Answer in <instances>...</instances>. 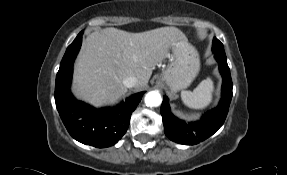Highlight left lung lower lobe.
Masks as SVG:
<instances>
[{
  "instance_id": "obj_1",
  "label": "left lung lower lobe",
  "mask_w": 287,
  "mask_h": 175,
  "mask_svg": "<svg viewBox=\"0 0 287 175\" xmlns=\"http://www.w3.org/2000/svg\"><path fill=\"white\" fill-rule=\"evenodd\" d=\"M219 71L223 78L222 98L219 105L205 113L201 120L185 123L177 119L170 111L169 99L164 97L161 114L166 136L177 143L194 145L213 135L224 123L232 99V80L224 53L215 52Z\"/></svg>"
}]
</instances>
